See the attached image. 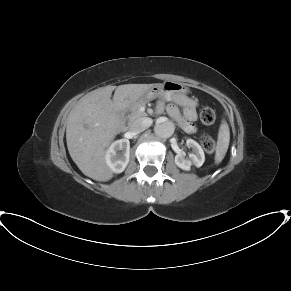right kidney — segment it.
Segmentation results:
<instances>
[{"label":"right kidney","instance_id":"1","mask_svg":"<svg viewBox=\"0 0 291 291\" xmlns=\"http://www.w3.org/2000/svg\"><path fill=\"white\" fill-rule=\"evenodd\" d=\"M130 142L127 139H120L111 144L106 151L105 161L107 166L114 173H121L129 163Z\"/></svg>","mask_w":291,"mask_h":291}]
</instances>
